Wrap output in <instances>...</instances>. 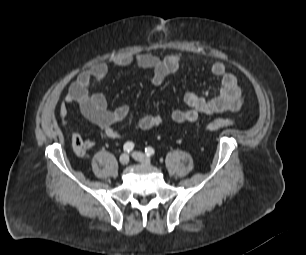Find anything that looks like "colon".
<instances>
[{
	"mask_svg": "<svg viewBox=\"0 0 306 255\" xmlns=\"http://www.w3.org/2000/svg\"><path fill=\"white\" fill-rule=\"evenodd\" d=\"M234 124L233 119L228 118H218L209 123L204 127L205 131H217L227 127H230ZM72 148L76 155L83 156L87 150L86 142L79 136L73 135L72 137Z\"/></svg>",
	"mask_w": 306,
	"mask_h": 255,
	"instance_id": "obj_1",
	"label": "colon"
}]
</instances>
